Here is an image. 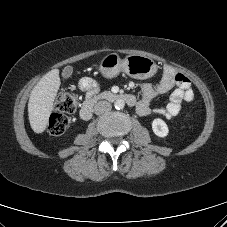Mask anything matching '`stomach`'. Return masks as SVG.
<instances>
[{"mask_svg":"<svg viewBox=\"0 0 227 227\" xmlns=\"http://www.w3.org/2000/svg\"><path fill=\"white\" fill-rule=\"evenodd\" d=\"M157 68L153 59L137 54L121 59L117 53H110L99 64V71L106 78L116 77L123 71L135 79H148L157 72Z\"/></svg>","mask_w":227,"mask_h":227,"instance_id":"1","label":"stomach"}]
</instances>
